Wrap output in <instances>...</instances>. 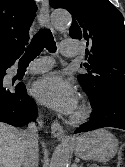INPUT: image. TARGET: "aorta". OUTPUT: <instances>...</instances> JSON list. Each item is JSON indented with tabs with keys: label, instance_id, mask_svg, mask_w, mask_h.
<instances>
[{
	"label": "aorta",
	"instance_id": "762f6f07",
	"mask_svg": "<svg viewBox=\"0 0 125 167\" xmlns=\"http://www.w3.org/2000/svg\"><path fill=\"white\" fill-rule=\"evenodd\" d=\"M51 21L57 29L67 28L72 21L71 15L66 11H54L51 14ZM70 151L66 143L59 144L50 161V167H68Z\"/></svg>",
	"mask_w": 125,
	"mask_h": 167
}]
</instances>
